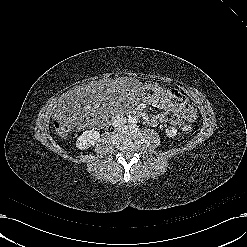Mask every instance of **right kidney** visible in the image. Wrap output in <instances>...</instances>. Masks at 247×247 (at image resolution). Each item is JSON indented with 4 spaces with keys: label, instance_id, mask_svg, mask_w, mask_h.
Returning a JSON list of instances; mask_svg holds the SVG:
<instances>
[{
    "label": "right kidney",
    "instance_id": "ca27d5eb",
    "mask_svg": "<svg viewBox=\"0 0 247 247\" xmlns=\"http://www.w3.org/2000/svg\"><path fill=\"white\" fill-rule=\"evenodd\" d=\"M100 138L98 131L86 130L84 131L76 141V147L80 150L88 149L90 146L94 145Z\"/></svg>",
    "mask_w": 247,
    "mask_h": 247
}]
</instances>
